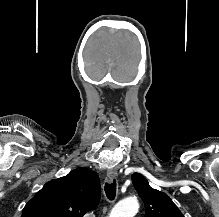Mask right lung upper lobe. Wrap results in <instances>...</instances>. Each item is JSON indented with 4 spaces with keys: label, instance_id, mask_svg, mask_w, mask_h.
Instances as JSON below:
<instances>
[{
    "label": "right lung upper lobe",
    "instance_id": "1",
    "mask_svg": "<svg viewBox=\"0 0 219 217\" xmlns=\"http://www.w3.org/2000/svg\"><path fill=\"white\" fill-rule=\"evenodd\" d=\"M100 200L98 175L77 168L47 182L26 204L21 217H82L96 209Z\"/></svg>",
    "mask_w": 219,
    "mask_h": 217
}]
</instances>
